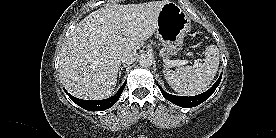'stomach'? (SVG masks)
<instances>
[{
	"mask_svg": "<svg viewBox=\"0 0 276 138\" xmlns=\"http://www.w3.org/2000/svg\"><path fill=\"white\" fill-rule=\"evenodd\" d=\"M191 27L189 15L174 2L162 6L158 14L157 35L168 55H176Z\"/></svg>",
	"mask_w": 276,
	"mask_h": 138,
	"instance_id": "obj_1",
	"label": "stomach"
}]
</instances>
